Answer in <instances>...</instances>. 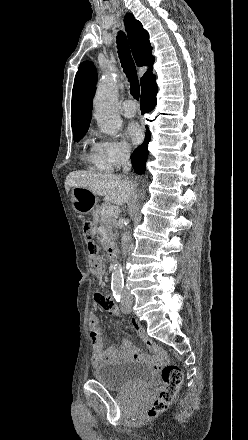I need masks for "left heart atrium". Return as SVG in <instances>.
Returning a JSON list of instances; mask_svg holds the SVG:
<instances>
[{
	"label": "left heart atrium",
	"instance_id": "left-heart-atrium-1",
	"mask_svg": "<svg viewBox=\"0 0 248 440\" xmlns=\"http://www.w3.org/2000/svg\"><path fill=\"white\" fill-rule=\"evenodd\" d=\"M126 136L130 139L133 144H139L143 138V133L140 126L131 122L126 129Z\"/></svg>",
	"mask_w": 248,
	"mask_h": 440
}]
</instances>
